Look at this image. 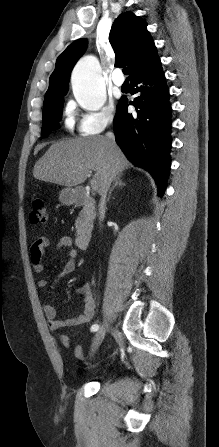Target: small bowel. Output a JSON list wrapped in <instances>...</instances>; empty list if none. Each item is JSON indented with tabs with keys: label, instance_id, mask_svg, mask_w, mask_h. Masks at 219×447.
Segmentation results:
<instances>
[{
	"label": "small bowel",
	"instance_id": "small-bowel-1",
	"mask_svg": "<svg viewBox=\"0 0 219 447\" xmlns=\"http://www.w3.org/2000/svg\"><path fill=\"white\" fill-rule=\"evenodd\" d=\"M49 239L45 236L37 238L31 246V259L33 269L36 273L44 272L46 266L43 261V254L45 249L49 246ZM58 250L67 249V261L55 276L53 285L57 286L59 282L67 275L74 272L76 265L75 260L78 257V251L73 248V241L70 237H62L56 244ZM37 288L42 290L46 288L47 281L45 279H39L37 281ZM75 293L82 297L84 301L83 312L80 315L74 316L66 320L57 319V311L52 305L44 306V314L48 321L50 330L57 331L63 327H77L85 325L92 321L95 314V301L92 295L91 287L88 283H84L75 289ZM62 344L65 347L71 345L70 337L67 335L61 336ZM75 356L83 358V350L77 346L74 350Z\"/></svg>",
	"mask_w": 219,
	"mask_h": 447
}]
</instances>
